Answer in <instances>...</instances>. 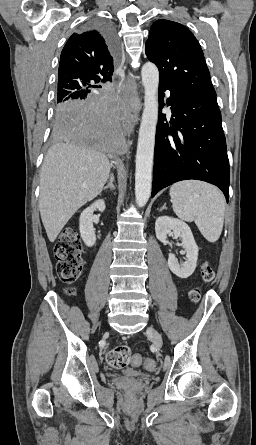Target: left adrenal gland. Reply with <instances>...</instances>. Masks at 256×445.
<instances>
[{"label": "left adrenal gland", "mask_w": 256, "mask_h": 445, "mask_svg": "<svg viewBox=\"0 0 256 445\" xmlns=\"http://www.w3.org/2000/svg\"><path fill=\"white\" fill-rule=\"evenodd\" d=\"M167 207H166V203L163 205V207L160 209V211H162V210H164V209H166Z\"/></svg>", "instance_id": "1"}]
</instances>
